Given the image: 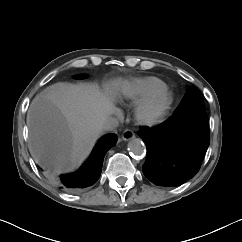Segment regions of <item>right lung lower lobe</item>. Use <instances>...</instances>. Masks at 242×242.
<instances>
[{
  "label": "right lung lower lobe",
  "instance_id": "1",
  "mask_svg": "<svg viewBox=\"0 0 242 242\" xmlns=\"http://www.w3.org/2000/svg\"><path fill=\"white\" fill-rule=\"evenodd\" d=\"M116 134L105 135L93 152L92 157L76 172L55 179L57 186L68 192H76L94 184L100 177L104 156L115 145Z\"/></svg>",
  "mask_w": 242,
  "mask_h": 242
}]
</instances>
